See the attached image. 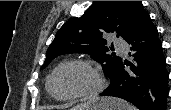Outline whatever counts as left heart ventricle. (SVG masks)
<instances>
[{
	"label": "left heart ventricle",
	"mask_w": 171,
	"mask_h": 110,
	"mask_svg": "<svg viewBox=\"0 0 171 110\" xmlns=\"http://www.w3.org/2000/svg\"><path fill=\"white\" fill-rule=\"evenodd\" d=\"M93 73L81 65H68L61 68L53 77L51 90L54 95L65 97L74 93L84 92L95 86Z\"/></svg>",
	"instance_id": "b2bd125f"
}]
</instances>
